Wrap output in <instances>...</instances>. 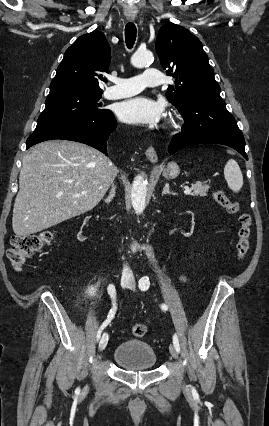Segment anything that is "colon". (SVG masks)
Listing matches in <instances>:
<instances>
[{"mask_svg":"<svg viewBox=\"0 0 269 426\" xmlns=\"http://www.w3.org/2000/svg\"><path fill=\"white\" fill-rule=\"evenodd\" d=\"M214 200L230 214L238 215L239 229L236 243V254L243 259L249 251V238L252 227V217L248 212L242 211L237 202L231 200L223 190L213 193ZM54 233L49 230L27 235H15L11 239V247L7 251V258L16 270L22 269L26 260L40 252L46 245L50 244ZM133 335L142 337L146 333V326L136 323L132 326Z\"/></svg>","mask_w":269,"mask_h":426,"instance_id":"1","label":"colon"}]
</instances>
